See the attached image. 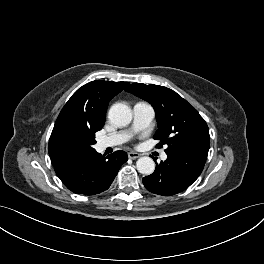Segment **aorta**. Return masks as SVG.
<instances>
[{
	"mask_svg": "<svg viewBox=\"0 0 264 264\" xmlns=\"http://www.w3.org/2000/svg\"><path fill=\"white\" fill-rule=\"evenodd\" d=\"M109 120L117 126H126L132 120L131 109L123 103H116L111 106L108 113ZM138 172L143 175H150L155 170V162L151 157H141L136 162Z\"/></svg>",
	"mask_w": 264,
	"mask_h": 264,
	"instance_id": "aorta-1",
	"label": "aorta"
}]
</instances>
